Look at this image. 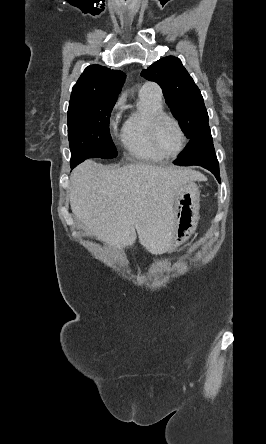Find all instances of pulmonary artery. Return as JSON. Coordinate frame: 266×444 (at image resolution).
I'll list each match as a JSON object with an SVG mask.
<instances>
[{
    "mask_svg": "<svg viewBox=\"0 0 266 444\" xmlns=\"http://www.w3.org/2000/svg\"><path fill=\"white\" fill-rule=\"evenodd\" d=\"M141 93L149 94L157 98H162L161 88L153 82H146L140 89Z\"/></svg>",
    "mask_w": 266,
    "mask_h": 444,
    "instance_id": "e3ab8cb5",
    "label": "pulmonary artery"
}]
</instances>
